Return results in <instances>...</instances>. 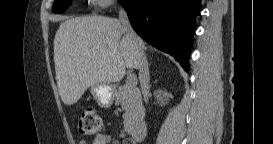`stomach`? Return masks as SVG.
Wrapping results in <instances>:
<instances>
[{"instance_id":"obj_1","label":"stomach","mask_w":273,"mask_h":144,"mask_svg":"<svg viewBox=\"0 0 273 144\" xmlns=\"http://www.w3.org/2000/svg\"><path fill=\"white\" fill-rule=\"evenodd\" d=\"M116 89L112 85L99 84L91 87V94L97 104L103 108H109L113 104Z\"/></svg>"}]
</instances>
